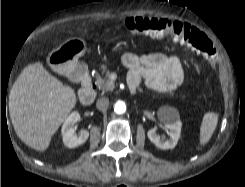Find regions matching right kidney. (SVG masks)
Listing matches in <instances>:
<instances>
[{
  "label": "right kidney",
  "instance_id": "right-kidney-1",
  "mask_svg": "<svg viewBox=\"0 0 245 187\" xmlns=\"http://www.w3.org/2000/svg\"><path fill=\"white\" fill-rule=\"evenodd\" d=\"M79 120L80 114L77 111H74L63 123L61 130L63 143L68 148H75L84 144L89 137V132L87 130H82L78 136L75 134V124Z\"/></svg>",
  "mask_w": 245,
  "mask_h": 187
}]
</instances>
